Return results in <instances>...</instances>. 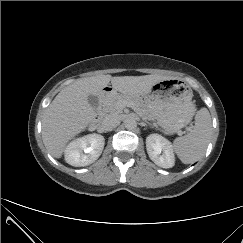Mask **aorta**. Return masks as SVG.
Segmentation results:
<instances>
[{"label":"aorta","mask_w":243,"mask_h":243,"mask_svg":"<svg viewBox=\"0 0 243 243\" xmlns=\"http://www.w3.org/2000/svg\"><path fill=\"white\" fill-rule=\"evenodd\" d=\"M125 127L128 130H134L137 128V121L133 118H129L125 121Z\"/></svg>","instance_id":"1"}]
</instances>
